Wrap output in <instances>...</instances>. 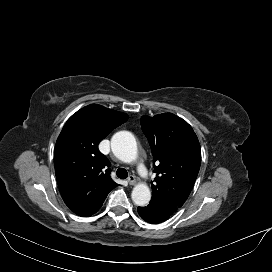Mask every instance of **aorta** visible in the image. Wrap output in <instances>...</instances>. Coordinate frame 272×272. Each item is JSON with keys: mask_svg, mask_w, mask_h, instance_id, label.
<instances>
[{"mask_svg": "<svg viewBox=\"0 0 272 272\" xmlns=\"http://www.w3.org/2000/svg\"><path fill=\"white\" fill-rule=\"evenodd\" d=\"M111 149L113 154L125 163H131L137 159V143L128 131H119L113 135ZM131 196L137 206H146L151 199V192L146 184L140 183L133 188Z\"/></svg>", "mask_w": 272, "mask_h": 272, "instance_id": "obj_1", "label": "aorta"}]
</instances>
